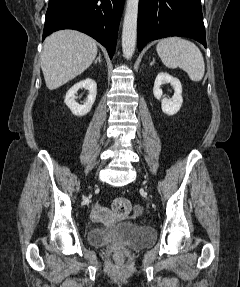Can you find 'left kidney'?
Returning <instances> with one entry per match:
<instances>
[{
  "mask_svg": "<svg viewBox=\"0 0 240 287\" xmlns=\"http://www.w3.org/2000/svg\"><path fill=\"white\" fill-rule=\"evenodd\" d=\"M166 83H170L175 90L171 99L162 98L163 91L161 86ZM153 94L156 99L161 100L163 113L172 116L180 110L183 103L182 85L177 78L172 77L168 73L160 72L154 82Z\"/></svg>",
  "mask_w": 240,
  "mask_h": 287,
  "instance_id": "5707ae66",
  "label": "left kidney"
}]
</instances>
